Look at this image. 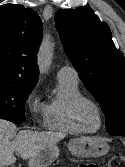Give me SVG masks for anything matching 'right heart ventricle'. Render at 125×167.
Instances as JSON below:
<instances>
[{
  "mask_svg": "<svg viewBox=\"0 0 125 167\" xmlns=\"http://www.w3.org/2000/svg\"><path fill=\"white\" fill-rule=\"evenodd\" d=\"M81 96L77 79H58L56 95L45 105L43 127L66 134L79 133L72 120L71 106Z\"/></svg>",
  "mask_w": 125,
  "mask_h": 167,
  "instance_id": "obj_1",
  "label": "right heart ventricle"
}]
</instances>
